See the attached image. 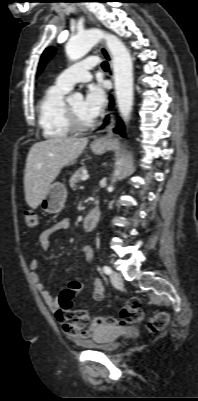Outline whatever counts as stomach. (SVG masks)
Here are the masks:
<instances>
[{"label": "stomach", "mask_w": 198, "mask_h": 401, "mask_svg": "<svg viewBox=\"0 0 198 401\" xmlns=\"http://www.w3.org/2000/svg\"><path fill=\"white\" fill-rule=\"evenodd\" d=\"M108 147L107 143H99L94 141L91 143L90 148L95 154H103ZM67 198V189L64 184L60 182L52 183L46 195L40 202V207L43 211L55 214L59 213L65 205Z\"/></svg>", "instance_id": "1"}]
</instances>
